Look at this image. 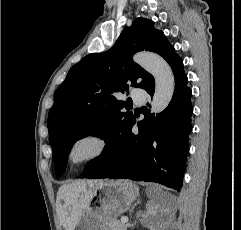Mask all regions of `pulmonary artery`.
I'll use <instances>...</instances> for the list:
<instances>
[{
    "label": "pulmonary artery",
    "mask_w": 241,
    "mask_h": 230,
    "mask_svg": "<svg viewBox=\"0 0 241 230\" xmlns=\"http://www.w3.org/2000/svg\"><path fill=\"white\" fill-rule=\"evenodd\" d=\"M131 97L135 103H142L146 98V93L145 91L138 89L132 92Z\"/></svg>",
    "instance_id": "obj_1"
}]
</instances>
